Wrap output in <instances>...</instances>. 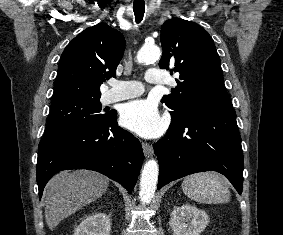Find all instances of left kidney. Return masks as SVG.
Segmentation results:
<instances>
[{"label": "left kidney", "mask_w": 283, "mask_h": 235, "mask_svg": "<svg viewBox=\"0 0 283 235\" xmlns=\"http://www.w3.org/2000/svg\"><path fill=\"white\" fill-rule=\"evenodd\" d=\"M209 223L206 212L185 204L176 207L170 217V227L174 235H200Z\"/></svg>", "instance_id": "obj_1"}]
</instances>
